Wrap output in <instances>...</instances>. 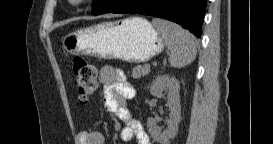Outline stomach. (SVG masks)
I'll use <instances>...</instances> for the list:
<instances>
[{
    "label": "stomach",
    "instance_id": "stomach-1",
    "mask_svg": "<svg viewBox=\"0 0 273 144\" xmlns=\"http://www.w3.org/2000/svg\"><path fill=\"white\" fill-rule=\"evenodd\" d=\"M62 46L72 55L141 63L161 53L164 42L145 18L136 16L71 32L63 38Z\"/></svg>",
    "mask_w": 273,
    "mask_h": 144
}]
</instances>
